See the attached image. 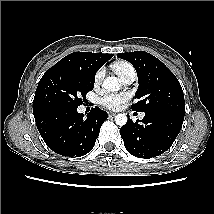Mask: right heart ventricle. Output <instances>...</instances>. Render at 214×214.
I'll return each mask as SVG.
<instances>
[{"label":"right heart ventricle","instance_id":"e07e8e85","mask_svg":"<svg viewBox=\"0 0 214 214\" xmlns=\"http://www.w3.org/2000/svg\"><path fill=\"white\" fill-rule=\"evenodd\" d=\"M113 70L114 72L120 76L121 72L124 70V69H127L129 67H132L129 63L127 62H117L115 64H113Z\"/></svg>","mask_w":214,"mask_h":214}]
</instances>
